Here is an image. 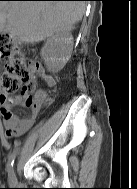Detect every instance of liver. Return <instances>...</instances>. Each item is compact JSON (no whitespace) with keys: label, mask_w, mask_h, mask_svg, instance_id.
<instances>
[{"label":"liver","mask_w":137,"mask_h":189,"mask_svg":"<svg viewBox=\"0 0 137 189\" xmlns=\"http://www.w3.org/2000/svg\"><path fill=\"white\" fill-rule=\"evenodd\" d=\"M84 1H1L0 31L21 43H36L69 31L85 13Z\"/></svg>","instance_id":"1"}]
</instances>
